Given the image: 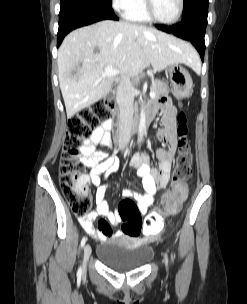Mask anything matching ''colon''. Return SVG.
I'll use <instances>...</instances> for the list:
<instances>
[{
  "label": "colon",
  "mask_w": 247,
  "mask_h": 304,
  "mask_svg": "<svg viewBox=\"0 0 247 304\" xmlns=\"http://www.w3.org/2000/svg\"><path fill=\"white\" fill-rule=\"evenodd\" d=\"M114 105L115 101L110 97L75 113L68 120V131L60 156L59 182L66 201L80 218L88 215L91 199L84 165L78 158L79 149L92 129L100 121L109 118ZM177 132L179 141L174 169L175 186L172 190L165 192L161 199L165 212L168 214L178 211L186 197L188 185L184 182L191 175L193 165V155L187 141V121L182 112L178 115ZM118 215L122 221V232L128 236L136 237L143 232L144 236L149 238L163 229L161 214L151 213L142 222L137 204L129 198L120 202Z\"/></svg>",
  "instance_id": "obj_1"
}]
</instances>
